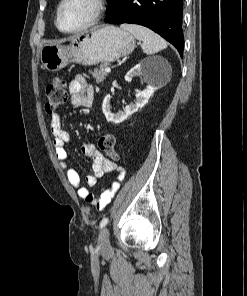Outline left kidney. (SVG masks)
I'll return each instance as SVG.
<instances>
[{
  "instance_id": "5707ae66",
  "label": "left kidney",
  "mask_w": 247,
  "mask_h": 296,
  "mask_svg": "<svg viewBox=\"0 0 247 296\" xmlns=\"http://www.w3.org/2000/svg\"><path fill=\"white\" fill-rule=\"evenodd\" d=\"M167 64V61L161 58L145 59L137 64L135 67L130 69V71H128L125 75V80L131 82L134 76H143L145 81L148 83V87L136 94V99L134 100V103H130L123 109V111H120L116 114L111 112V96L107 95L104 98L102 105V110L107 121L115 124L121 123L133 113L137 112L145 104H147L149 98L158 88L157 72L159 70V67L161 65L164 66Z\"/></svg>"
}]
</instances>
